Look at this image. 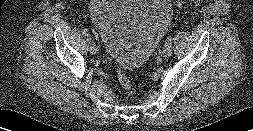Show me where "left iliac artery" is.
Segmentation results:
<instances>
[{"label":"left iliac artery","mask_w":253,"mask_h":131,"mask_svg":"<svg viewBox=\"0 0 253 131\" xmlns=\"http://www.w3.org/2000/svg\"><path fill=\"white\" fill-rule=\"evenodd\" d=\"M172 40H173V36L169 35L167 40H166L165 46L172 47Z\"/></svg>","instance_id":"obj_1"}]
</instances>
